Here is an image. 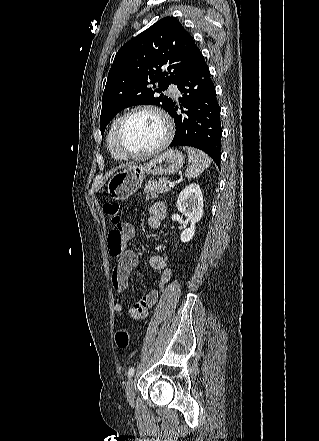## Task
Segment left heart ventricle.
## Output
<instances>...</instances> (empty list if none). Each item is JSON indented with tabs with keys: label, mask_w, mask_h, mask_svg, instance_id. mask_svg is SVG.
<instances>
[{
	"label": "left heart ventricle",
	"mask_w": 319,
	"mask_h": 441,
	"mask_svg": "<svg viewBox=\"0 0 319 441\" xmlns=\"http://www.w3.org/2000/svg\"><path fill=\"white\" fill-rule=\"evenodd\" d=\"M164 137V125L151 112H137L125 122L121 131L122 145L131 152H143L157 146Z\"/></svg>",
	"instance_id": "left-heart-ventricle-1"
}]
</instances>
